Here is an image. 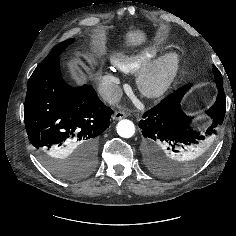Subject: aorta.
<instances>
[{"mask_svg":"<svg viewBox=\"0 0 236 236\" xmlns=\"http://www.w3.org/2000/svg\"><path fill=\"white\" fill-rule=\"evenodd\" d=\"M116 130L120 137L130 138L135 133V126L132 121L123 119L118 122Z\"/></svg>","mask_w":236,"mask_h":236,"instance_id":"obj_1","label":"aorta"}]
</instances>
